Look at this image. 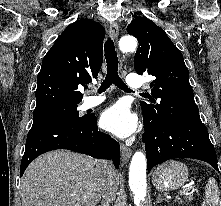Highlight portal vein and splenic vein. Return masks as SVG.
Instances as JSON below:
<instances>
[{"mask_svg": "<svg viewBox=\"0 0 221 206\" xmlns=\"http://www.w3.org/2000/svg\"><path fill=\"white\" fill-rule=\"evenodd\" d=\"M197 191L196 189H194V186H186L185 188H183L181 191H180V194H186L188 191Z\"/></svg>", "mask_w": 221, "mask_h": 206, "instance_id": "18ae733b", "label": "portal vein and splenic vein"}]
</instances>
